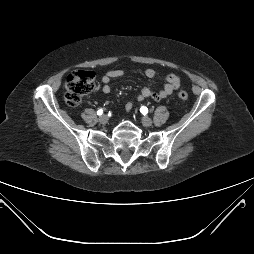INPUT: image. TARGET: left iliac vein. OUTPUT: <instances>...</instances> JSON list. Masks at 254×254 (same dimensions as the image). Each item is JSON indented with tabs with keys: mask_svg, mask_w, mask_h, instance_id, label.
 Listing matches in <instances>:
<instances>
[{
	"mask_svg": "<svg viewBox=\"0 0 254 254\" xmlns=\"http://www.w3.org/2000/svg\"><path fill=\"white\" fill-rule=\"evenodd\" d=\"M141 122L145 127H150L152 126V123H153L152 120L146 116L142 117Z\"/></svg>",
	"mask_w": 254,
	"mask_h": 254,
	"instance_id": "4c4485c4",
	"label": "left iliac vein"
}]
</instances>
